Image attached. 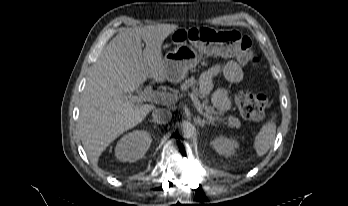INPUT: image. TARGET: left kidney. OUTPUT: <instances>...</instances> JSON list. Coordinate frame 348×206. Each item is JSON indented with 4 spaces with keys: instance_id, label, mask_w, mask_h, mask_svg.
<instances>
[{
    "instance_id": "5707ae66",
    "label": "left kidney",
    "mask_w": 348,
    "mask_h": 206,
    "mask_svg": "<svg viewBox=\"0 0 348 206\" xmlns=\"http://www.w3.org/2000/svg\"><path fill=\"white\" fill-rule=\"evenodd\" d=\"M211 145L217 153L220 155L230 156L233 155L236 149L239 148V143L234 138H227L220 136L215 138Z\"/></svg>"
}]
</instances>
